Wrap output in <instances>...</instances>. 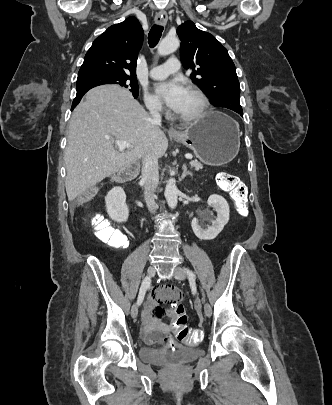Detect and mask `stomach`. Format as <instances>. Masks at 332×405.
Wrapping results in <instances>:
<instances>
[{"label":"stomach","instance_id":"obj_1","mask_svg":"<svg viewBox=\"0 0 332 405\" xmlns=\"http://www.w3.org/2000/svg\"><path fill=\"white\" fill-rule=\"evenodd\" d=\"M174 139L191 149L201 162L213 166L232 161L240 148L238 124L215 111L205 113Z\"/></svg>","mask_w":332,"mask_h":405}]
</instances>
